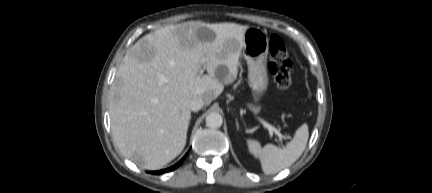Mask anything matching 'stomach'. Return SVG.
Instances as JSON below:
<instances>
[{
  "label": "stomach",
  "instance_id": "stomach-1",
  "mask_svg": "<svg viewBox=\"0 0 432 193\" xmlns=\"http://www.w3.org/2000/svg\"><path fill=\"white\" fill-rule=\"evenodd\" d=\"M269 38L258 27H249L244 34L243 56L248 65V83L257 102L268 87L267 55Z\"/></svg>",
  "mask_w": 432,
  "mask_h": 193
}]
</instances>
